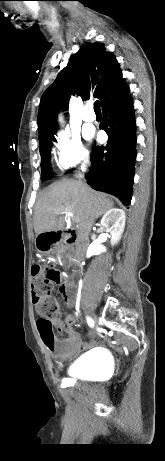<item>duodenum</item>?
Listing matches in <instances>:
<instances>
[{"label": "duodenum", "mask_w": 165, "mask_h": 461, "mask_svg": "<svg viewBox=\"0 0 165 461\" xmlns=\"http://www.w3.org/2000/svg\"><path fill=\"white\" fill-rule=\"evenodd\" d=\"M51 239L62 242L76 248V260L80 262L84 257L85 243L80 239L77 230L61 229L57 230L49 236ZM70 286L67 287L69 290Z\"/></svg>", "instance_id": "1"}]
</instances>
